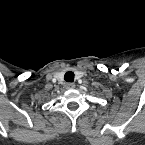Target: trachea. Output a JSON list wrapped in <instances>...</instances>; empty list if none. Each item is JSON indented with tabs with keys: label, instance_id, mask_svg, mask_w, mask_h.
Listing matches in <instances>:
<instances>
[{
	"label": "trachea",
	"instance_id": "3493384b",
	"mask_svg": "<svg viewBox=\"0 0 145 145\" xmlns=\"http://www.w3.org/2000/svg\"><path fill=\"white\" fill-rule=\"evenodd\" d=\"M74 73L72 71H68L64 75V80L66 82H73L74 81Z\"/></svg>",
	"mask_w": 145,
	"mask_h": 145
}]
</instances>
